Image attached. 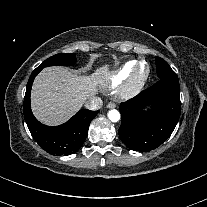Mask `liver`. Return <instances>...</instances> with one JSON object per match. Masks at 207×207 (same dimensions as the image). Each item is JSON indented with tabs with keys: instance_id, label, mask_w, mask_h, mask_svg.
Masks as SVG:
<instances>
[{
	"instance_id": "1",
	"label": "liver",
	"mask_w": 207,
	"mask_h": 207,
	"mask_svg": "<svg viewBox=\"0 0 207 207\" xmlns=\"http://www.w3.org/2000/svg\"><path fill=\"white\" fill-rule=\"evenodd\" d=\"M111 75L103 65L91 75H78L65 67L44 68L32 86L31 108L35 117L46 125L66 122L83 103L93 97Z\"/></svg>"
}]
</instances>
